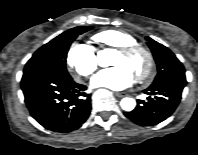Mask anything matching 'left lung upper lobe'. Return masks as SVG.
I'll list each match as a JSON object with an SVG mask.
<instances>
[{
    "label": "left lung upper lobe",
    "instance_id": "obj_1",
    "mask_svg": "<svg viewBox=\"0 0 198 155\" xmlns=\"http://www.w3.org/2000/svg\"><path fill=\"white\" fill-rule=\"evenodd\" d=\"M146 39L158 68V74L152 85L171 79L186 80L185 69L176 56L162 44L149 37H146Z\"/></svg>",
    "mask_w": 198,
    "mask_h": 155
}]
</instances>
